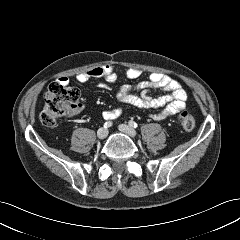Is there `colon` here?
I'll list each match as a JSON object with an SVG mask.
<instances>
[{"instance_id":"5ec220e1","label":"colon","mask_w":240,"mask_h":240,"mask_svg":"<svg viewBox=\"0 0 240 240\" xmlns=\"http://www.w3.org/2000/svg\"><path fill=\"white\" fill-rule=\"evenodd\" d=\"M79 91L72 87L54 83L45 94V104L41 112V121L47 126L55 125L63 116L75 111L79 105ZM178 122L185 131L195 127L194 117L188 112L178 115Z\"/></svg>"}]
</instances>
